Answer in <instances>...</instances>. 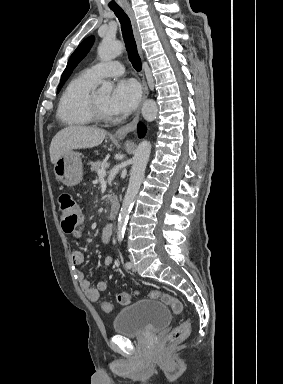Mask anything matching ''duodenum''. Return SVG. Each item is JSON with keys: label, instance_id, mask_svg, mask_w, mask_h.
<instances>
[{"label": "duodenum", "instance_id": "duodenum-1", "mask_svg": "<svg viewBox=\"0 0 283 384\" xmlns=\"http://www.w3.org/2000/svg\"><path fill=\"white\" fill-rule=\"evenodd\" d=\"M119 211H120V202L116 196H113L111 208L109 210V217L111 219H115L118 216Z\"/></svg>", "mask_w": 283, "mask_h": 384}]
</instances>
